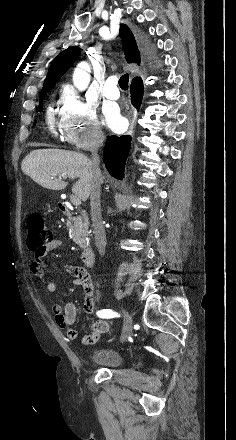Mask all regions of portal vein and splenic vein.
<instances>
[{
    "instance_id": "portal-vein-and-splenic-vein-1",
    "label": "portal vein and splenic vein",
    "mask_w": 236,
    "mask_h": 440,
    "mask_svg": "<svg viewBox=\"0 0 236 440\" xmlns=\"http://www.w3.org/2000/svg\"><path fill=\"white\" fill-rule=\"evenodd\" d=\"M70 201L73 205L75 206H80L81 205V200L78 196L76 195H70Z\"/></svg>"
}]
</instances>
